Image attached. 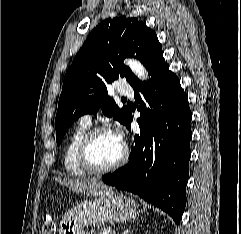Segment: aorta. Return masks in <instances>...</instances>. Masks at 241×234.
<instances>
[{
	"instance_id": "aorta-1",
	"label": "aorta",
	"mask_w": 241,
	"mask_h": 234,
	"mask_svg": "<svg viewBox=\"0 0 241 234\" xmlns=\"http://www.w3.org/2000/svg\"><path fill=\"white\" fill-rule=\"evenodd\" d=\"M125 63L130 67L133 73L140 79L144 80L147 77L145 67L135 59H127Z\"/></svg>"
}]
</instances>
